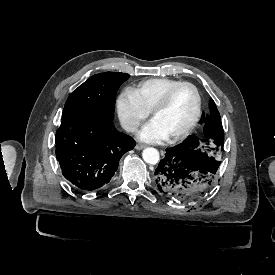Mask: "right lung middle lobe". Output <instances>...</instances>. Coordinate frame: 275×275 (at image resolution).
<instances>
[{
	"label": "right lung middle lobe",
	"instance_id": "1",
	"mask_svg": "<svg viewBox=\"0 0 275 275\" xmlns=\"http://www.w3.org/2000/svg\"><path fill=\"white\" fill-rule=\"evenodd\" d=\"M129 77L128 74L117 72L90 77L69 96L63 116L82 115L102 123H113L116 92Z\"/></svg>",
	"mask_w": 275,
	"mask_h": 275
}]
</instances>
